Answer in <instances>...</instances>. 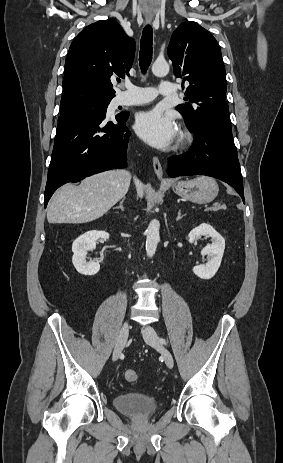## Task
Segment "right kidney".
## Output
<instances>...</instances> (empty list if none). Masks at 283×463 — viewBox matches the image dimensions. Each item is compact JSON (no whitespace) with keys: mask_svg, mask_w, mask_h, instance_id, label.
Wrapping results in <instances>:
<instances>
[{"mask_svg":"<svg viewBox=\"0 0 283 463\" xmlns=\"http://www.w3.org/2000/svg\"><path fill=\"white\" fill-rule=\"evenodd\" d=\"M109 239V234L105 231L92 230L79 236L72 244V263L76 270L83 275H94L100 270L99 262L86 261L89 250L95 249L98 239Z\"/></svg>","mask_w":283,"mask_h":463,"instance_id":"obj_1","label":"right kidney"}]
</instances>
